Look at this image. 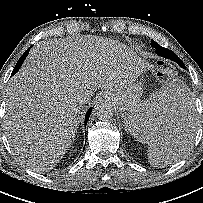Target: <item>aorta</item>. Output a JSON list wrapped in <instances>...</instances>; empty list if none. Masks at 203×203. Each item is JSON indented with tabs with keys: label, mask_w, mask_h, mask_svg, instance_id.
I'll list each match as a JSON object with an SVG mask.
<instances>
[{
	"label": "aorta",
	"mask_w": 203,
	"mask_h": 203,
	"mask_svg": "<svg viewBox=\"0 0 203 203\" xmlns=\"http://www.w3.org/2000/svg\"><path fill=\"white\" fill-rule=\"evenodd\" d=\"M94 114L100 120H109L114 115L113 106L108 102H100L94 107Z\"/></svg>",
	"instance_id": "762f6f07"
}]
</instances>
